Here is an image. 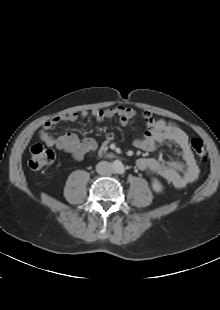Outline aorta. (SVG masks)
Segmentation results:
<instances>
[{
	"label": "aorta",
	"instance_id": "1",
	"mask_svg": "<svg viewBox=\"0 0 220 310\" xmlns=\"http://www.w3.org/2000/svg\"><path fill=\"white\" fill-rule=\"evenodd\" d=\"M113 168L115 172H120L123 168V165L120 161H116L115 163H113Z\"/></svg>",
	"mask_w": 220,
	"mask_h": 310
}]
</instances>
